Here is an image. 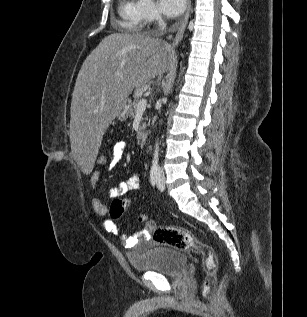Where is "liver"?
Here are the masks:
<instances>
[{"label":"liver","instance_id":"6515ba94","mask_svg":"<svg viewBox=\"0 0 307 317\" xmlns=\"http://www.w3.org/2000/svg\"><path fill=\"white\" fill-rule=\"evenodd\" d=\"M170 50L141 33H112L84 61L71 102L70 142L78 172L91 175L103 135L134 88L168 69Z\"/></svg>","mask_w":307,"mask_h":317}]
</instances>
